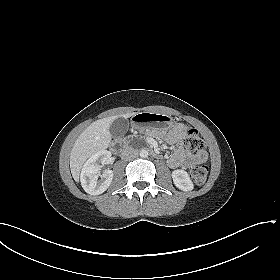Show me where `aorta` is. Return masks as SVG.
I'll return each instance as SVG.
<instances>
[{
	"mask_svg": "<svg viewBox=\"0 0 280 280\" xmlns=\"http://www.w3.org/2000/svg\"><path fill=\"white\" fill-rule=\"evenodd\" d=\"M148 155H149V153H148L147 150L142 149V150L140 151V157H142V158H147Z\"/></svg>",
	"mask_w": 280,
	"mask_h": 280,
	"instance_id": "aorta-1",
	"label": "aorta"
}]
</instances>
